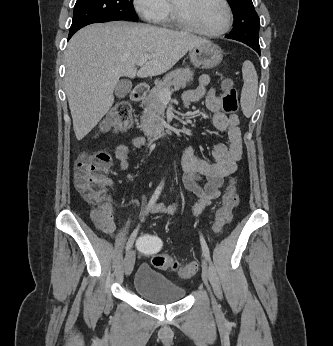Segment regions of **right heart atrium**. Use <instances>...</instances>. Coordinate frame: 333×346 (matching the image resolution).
<instances>
[{
	"label": "right heart atrium",
	"mask_w": 333,
	"mask_h": 346,
	"mask_svg": "<svg viewBox=\"0 0 333 346\" xmlns=\"http://www.w3.org/2000/svg\"><path fill=\"white\" fill-rule=\"evenodd\" d=\"M136 11L148 22L161 23L171 12L169 0H133Z\"/></svg>",
	"instance_id": "1"
}]
</instances>
